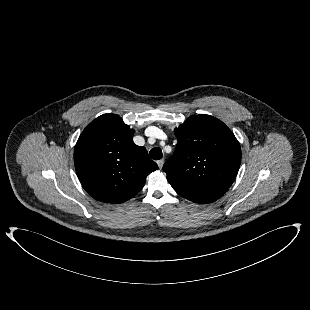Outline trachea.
<instances>
[{"label": "trachea", "instance_id": "trachea-1", "mask_svg": "<svg viewBox=\"0 0 310 310\" xmlns=\"http://www.w3.org/2000/svg\"><path fill=\"white\" fill-rule=\"evenodd\" d=\"M149 156L153 160H160L162 158V156H163L162 150L160 148H153V149L150 150Z\"/></svg>", "mask_w": 310, "mask_h": 310}]
</instances>
